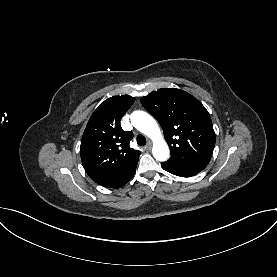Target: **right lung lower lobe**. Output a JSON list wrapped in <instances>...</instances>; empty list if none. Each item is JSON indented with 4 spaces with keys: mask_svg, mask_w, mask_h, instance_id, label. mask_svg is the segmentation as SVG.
I'll return each mask as SVG.
<instances>
[{
    "mask_svg": "<svg viewBox=\"0 0 277 277\" xmlns=\"http://www.w3.org/2000/svg\"><path fill=\"white\" fill-rule=\"evenodd\" d=\"M134 174H135V172L130 176V178L122 186H124L134 176Z\"/></svg>",
    "mask_w": 277,
    "mask_h": 277,
    "instance_id": "98d812e1",
    "label": "right lung lower lobe"
}]
</instances>
